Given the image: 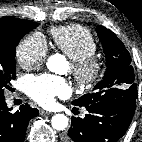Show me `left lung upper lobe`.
<instances>
[{"label":"left lung upper lobe","instance_id":"obj_1","mask_svg":"<svg viewBox=\"0 0 142 142\" xmlns=\"http://www.w3.org/2000/svg\"><path fill=\"white\" fill-rule=\"evenodd\" d=\"M96 31L106 55V72L92 93L74 100L72 104L82 107L124 96L137 97V85L129 52L109 29L100 25Z\"/></svg>","mask_w":142,"mask_h":142}]
</instances>
